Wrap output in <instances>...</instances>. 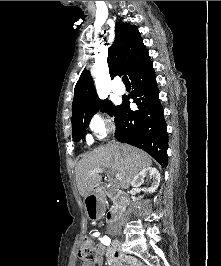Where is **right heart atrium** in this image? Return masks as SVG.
Masks as SVG:
<instances>
[{
  "mask_svg": "<svg viewBox=\"0 0 221 266\" xmlns=\"http://www.w3.org/2000/svg\"><path fill=\"white\" fill-rule=\"evenodd\" d=\"M89 128L96 138L104 139L115 129V125L109 113L102 109L90 118Z\"/></svg>",
  "mask_w": 221,
  "mask_h": 266,
  "instance_id": "right-heart-atrium-1",
  "label": "right heart atrium"
}]
</instances>
